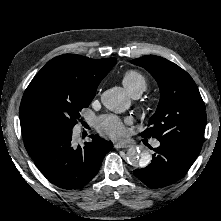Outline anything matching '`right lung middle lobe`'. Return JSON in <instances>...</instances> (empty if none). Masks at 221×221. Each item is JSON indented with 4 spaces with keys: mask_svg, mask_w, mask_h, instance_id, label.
<instances>
[{
    "mask_svg": "<svg viewBox=\"0 0 221 221\" xmlns=\"http://www.w3.org/2000/svg\"><path fill=\"white\" fill-rule=\"evenodd\" d=\"M95 94H81L61 89L44 79L31 82L24 92L20 111L29 118L46 122L51 127L72 129L80 112Z\"/></svg>",
    "mask_w": 221,
    "mask_h": 221,
    "instance_id": "1",
    "label": "right lung middle lobe"
}]
</instances>
